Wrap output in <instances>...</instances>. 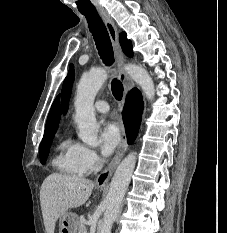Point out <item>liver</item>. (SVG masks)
Returning a JSON list of instances; mask_svg holds the SVG:
<instances>
[{
    "mask_svg": "<svg viewBox=\"0 0 227 233\" xmlns=\"http://www.w3.org/2000/svg\"><path fill=\"white\" fill-rule=\"evenodd\" d=\"M91 180L52 173L40 188V203L46 233H54L55 224L69 209L83 205L90 197Z\"/></svg>",
    "mask_w": 227,
    "mask_h": 233,
    "instance_id": "obj_1",
    "label": "liver"
}]
</instances>
